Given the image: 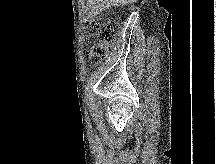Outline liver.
Listing matches in <instances>:
<instances>
[{
	"instance_id": "1",
	"label": "liver",
	"mask_w": 216,
	"mask_h": 164,
	"mask_svg": "<svg viewBox=\"0 0 216 164\" xmlns=\"http://www.w3.org/2000/svg\"><path fill=\"white\" fill-rule=\"evenodd\" d=\"M89 1L91 3L90 15L94 16L110 7H119L128 4H133L137 0H89Z\"/></svg>"
}]
</instances>
